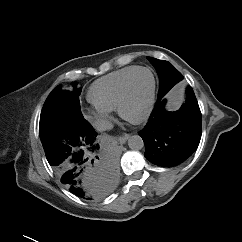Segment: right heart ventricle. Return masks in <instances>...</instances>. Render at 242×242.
Here are the masks:
<instances>
[{"mask_svg": "<svg viewBox=\"0 0 242 242\" xmlns=\"http://www.w3.org/2000/svg\"><path fill=\"white\" fill-rule=\"evenodd\" d=\"M138 66H127L96 80L89 88L88 99L99 109H117L122 87L129 75Z\"/></svg>", "mask_w": 242, "mask_h": 242, "instance_id": "1", "label": "right heart ventricle"}]
</instances>
